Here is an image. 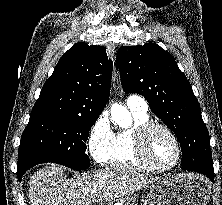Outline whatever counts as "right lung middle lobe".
<instances>
[{
	"label": "right lung middle lobe",
	"instance_id": "dd1d6c3e",
	"mask_svg": "<svg viewBox=\"0 0 222 205\" xmlns=\"http://www.w3.org/2000/svg\"><path fill=\"white\" fill-rule=\"evenodd\" d=\"M97 118L67 113L30 116L21 137L18 162L41 159L77 171L87 169L90 160L85 143Z\"/></svg>",
	"mask_w": 222,
	"mask_h": 205
}]
</instances>
